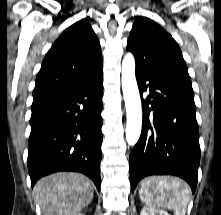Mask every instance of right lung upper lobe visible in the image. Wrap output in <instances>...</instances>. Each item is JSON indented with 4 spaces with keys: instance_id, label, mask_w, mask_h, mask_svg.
<instances>
[{
    "instance_id": "1",
    "label": "right lung upper lobe",
    "mask_w": 221,
    "mask_h": 215,
    "mask_svg": "<svg viewBox=\"0 0 221 215\" xmlns=\"http://www.w3.org/2000/svg\"><path fill=\"white\" fill-rule=\"evenodd\" d=\"M102 75L99 40L86 19L67 28L47 52L36 78L32 107Z\"/></svg>"
}]
</instances>
